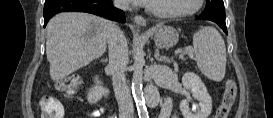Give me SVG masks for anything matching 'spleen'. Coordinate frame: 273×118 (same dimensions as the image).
I'll return each instance as SVG.
<instances>
[{
	"mask_svg": "<svg viewBox=\"0 0 273 118\" xmlns=\"http://www.w3.org/2000/svg\"><path fill=\"white\" fill-rule=\"evenodd\" d=\"M193 46L199 70L210 80L220 82L225 76L226 48L220 33L204 27L193 34Z\"/></svg>",
	"mask_w": 273,
	"mask_h": 118,
	"instance_id": "3e777b00",
	"label": "spleen"
}]
</instances>
